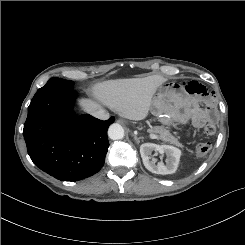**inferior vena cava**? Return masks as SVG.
<instances>
[{"label": "inferior vena cava", "instance_id": "1", "mask_svg": "<svg viewBox=\"0 0 245 245\" xmlns=\"http://www.w3.org/2000/svg\"><path fill=\"white\" fill-rule=\"evenodd\" d=\"M91 115L101 120L109 119V113L106 112V110H104L103 108H98L94 110L93 112H91Z\"/></svg>", "mask_w": 245, "mask_h": 245}]
</instances>
